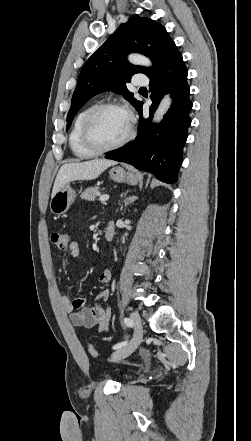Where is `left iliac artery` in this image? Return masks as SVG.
<instances>
[{"mask_svg":"<svg viewBox=\"0 0 251 441\" xmlns=\"http://www.w3.org/2000/svg\"><path fill=\"white\" fill-rule=\"evenodd\" d=\"M124 323H125L128 327H132V326H133V323H132V321H131L130 318H124ZM126 344H127V341H123V342L117 343V344H115V345L113 346V349H119V348L125 346Z\"/></svg>","mask_w":251,"mask_h":441,"instance_id":"44dca946","label":"left iliac artery"}]
</instances>
